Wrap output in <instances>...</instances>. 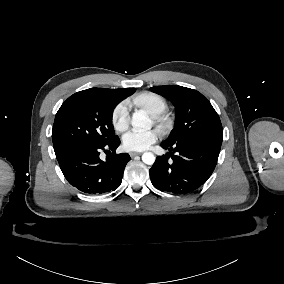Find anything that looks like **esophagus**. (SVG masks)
Wrapping results in <instances>:
<instances>
[{
  "mask_svg": "<svg viewBox=\"0 0 284 284\" xmlns=\"http://www.w3.org/2000/svg\"><path fill=\"white\" fill-rule=\"evenodd\" d=\"M142 154V152H130V156L133 158V157H135V156H137V155H141Z\"/></svg>",
  "mask_w": 284,
  "mask_h": 284,
  "instance_id": "1",
  "label": "esophagus"
}]
</instances>
